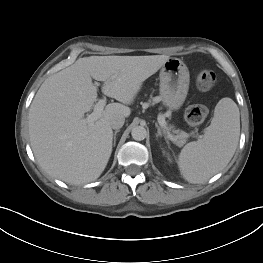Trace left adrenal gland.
<instances>
[{"label":"left adrenal gland","mask_w":263,"mask_h":263,"mask_svg":"<svg viewBox=\"0 0 263 263\" xmlns=\"http://www.w3.org/2000/svg\"><path fill=\"white\" fill-rule=\"evenodd\" d=\"M155 126L157 128L156 137H162L163 136L165 138V140H166L167 139L166 134L164 132H162L160 126L157 123L155 124Z\"/></svg>","instance_id":"a2214340"}]
</instances>
